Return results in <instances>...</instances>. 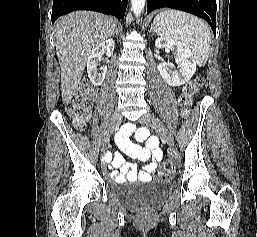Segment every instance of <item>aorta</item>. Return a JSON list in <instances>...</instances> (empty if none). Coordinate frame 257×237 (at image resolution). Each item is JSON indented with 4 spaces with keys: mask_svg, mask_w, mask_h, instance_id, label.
Wrapping results in <instances>:
<instances>
[{
    "mask_svg": "<svg viewBox=\"0 0 257 237\" xmlns=\"http://www.w3.org/2000/svg\"><path fill=\"white\" fill-rule=\"evenodd\" d=\"M146 0H131V7L134 15L139 17L145 7Z\"/></svg>",
    "mask_w": 257,
    "mask_h": 237,
    "instance_id": "aorta-1",
    "label": "aorta"
}]
</instances>
